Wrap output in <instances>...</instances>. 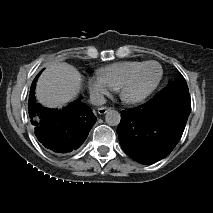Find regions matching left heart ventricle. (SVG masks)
<instances>
[{
	"label": "left heart ventricle",
	"mask_w": 213,
	"mask_h": 213,
	"mask_svg": "<svg viewBox=\"0 0 213 213\" xmlns=\"http://www.w3.org/2000/svg\"><path fill=\"white\" fill-rule=\"evenodd\" d=\"M159 74V70L155 65H147L143 67L132 83L126 88L128 97H137L145 93L155 83Z\"/></svg>",
	"instance_id": "obj_1"
}]
</instances>
